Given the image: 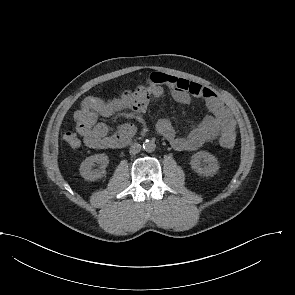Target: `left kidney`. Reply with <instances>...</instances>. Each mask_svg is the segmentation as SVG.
<instances>
[{"label": "left kidney", "mask_w": 295, "mask_h": 295, "mask_svg": "<svg viewBox=\"0 0 295 295\" xmlns=\"http://www.w3.org/2000/svg\"><path fill=\"white\" fill-rule=\"evenodd\" d=\"M191 168L203 176H213L219 170V164L215 156L206 151H199L192 155Z\"/></svg>", "instance_id": "left-kidney-1"}]
</instances>
